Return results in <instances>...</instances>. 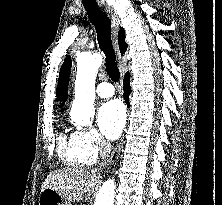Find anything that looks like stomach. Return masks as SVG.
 I'll return each mask as SVG.
<instances>
[{
    "mask_svg": "<svg viewBox=\"0 0 222 205\" xmlns=\"http://www.w3.org/2000/svg\"><path fill=\"white\" fill-rule=\"evenodd\" d=\"M38 203L39 205H69V200L56 190L45 189L41 191Z\"/></svg>",
    "mask_w": 222,
    "mask_h": 205,
    "instance_id": "stomach-1",
    "label": "stomach"
}]
</instances>
